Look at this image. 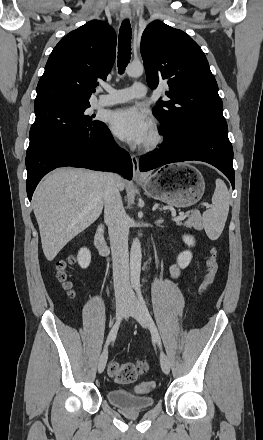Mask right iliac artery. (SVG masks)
Segmentation results:
<instances>
[{"label": "right iliac artery", "instance_id": "1", "mask_svg": "<svg viewBox=\"0 0 263 440\" xmlns=\"http://www.w3.org/2000/svg\"><path fill=\"white\" fill-rule=\"evenodd\" d=\"M121 320H122V318L119 319V320L114 324V326L112 327V329H111V331H110V333H109V335H108V337H107V340H106V343H105V347H107V346L109 345V343H110L112 340H114V339L116 338V335H117V332H118L119 326H120V324H121Z\"/></svg>", "mask_w": 263, "mask_h": 440}]
</instances>
